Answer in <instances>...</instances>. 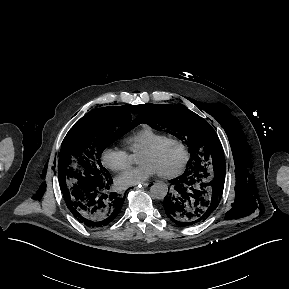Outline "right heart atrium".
I'll list each match as a JSON object with an SVG mask.
<instances>
[{"label": "right heart atrium", "instance_id": "1", "mask_svg": "<svg viewBox=\"0 0 289 289\" xmlns=\"http://www.w3.org/2000/svg\"><path fill=\"white\" fill-rule=\"evenodd\" d=\"M101 162L112 171H121L129 165V153L125 148L110 145L102 150Z\"/></svg>", "mask_w": 289, "mask_h": 289}]
</instances>
